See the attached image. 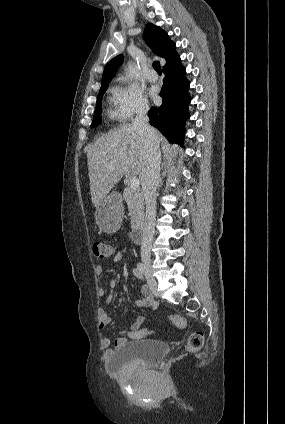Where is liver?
I'll list each match as a JSON object with an SVG mask.
<instances>
[{
	"instance_id": "1",
	"label": "liver",
	"mask_w": 285,
	"mask_h": 424,
	"mask_svg": "<svg viewBox=\"0 0 285 424\" xmlns=\"http://www.w3.org/2000/svg\"><path fill=\"white\" fill-rule=\"evenodd\" d=\"M155 133L159 145L163 144L164 137L157 130ZM86 152L90 194L95 207L124 175H138L142 182L147 166L146 148L142 136L132 124H124L102 135Z\"/></svg>"
}]
</instances>
